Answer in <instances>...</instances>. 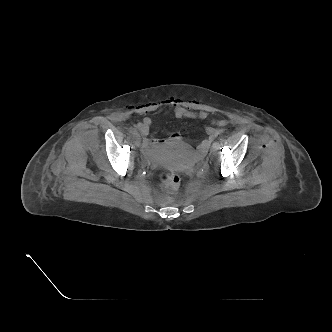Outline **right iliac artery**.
<instances>
[{
  "mask_svg": "<svg viewBox=\"0 0 332 332\" xmlns=\"http://www.w3.org/2000/svg\"><path fill=\"white\" fill-rule=\"evenodd\" d=\"M129 132L132 133V134H136L137 133V130L135 128H129Z\"/></svg>",
  "mask_w": 332,
  "mask_h": 332,
  "instance_id": "1",
  "label": "right iliac artery"
}]
</instances>
